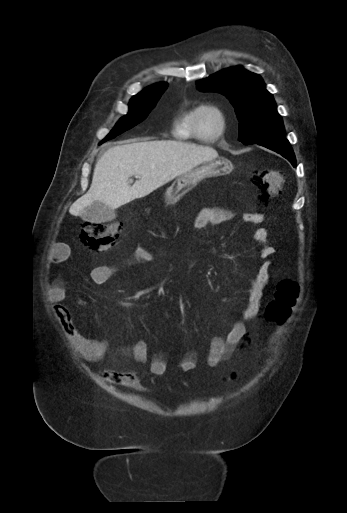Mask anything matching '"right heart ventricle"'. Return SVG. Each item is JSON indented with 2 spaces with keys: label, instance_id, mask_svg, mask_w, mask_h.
<instances>
[{
  "label": "right heart ventricle",
  "instance_id": "right-heart-ventricle-1",
  "mask_svg": "<svg viewBox=\"0 0 347 513\" xmlns=\"http://www.w3.org/2000/svg\"><path fill=\"white\" fill-rule=\"evenodd\" d=\"M198 107L199 105L191 106L179 114L173 127V134L175 138L184 141L195 140L200 142H208L205 136H199L194 132L193 129V122Z\"/></svg>",
  "mask_w": 347,
  "mask_h": 513
}]
</instances>
